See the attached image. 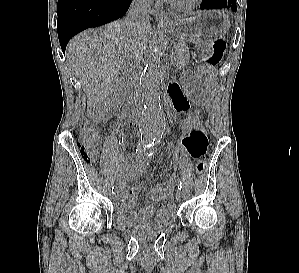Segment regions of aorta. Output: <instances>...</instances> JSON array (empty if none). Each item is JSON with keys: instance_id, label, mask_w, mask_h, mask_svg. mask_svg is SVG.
<instances>
[{"instance_id": "aorta-1", "label": "aorta", "mask_w": 299, "mask_h": 273, "mask_svg": "<svg viewBox=\"0 0 299 273\" xmlns=\"http://www.w3.org/2000/svg\"><path fill=\"white\" fill-rule=\"evenodd\" d=\"M162 74L158 48H153L140 78L144 108L140 120L141 138L152 142L163 135L165 118L161 108L159 80Z\"/></svg>"}]
</instances>
